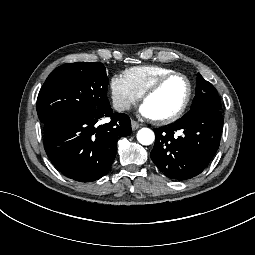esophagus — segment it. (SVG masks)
Here are the masks:
<instances>
[{
  "label": "esophagus",
  "mask_w": 255,
  "mask_h": 255,
  "mask_svg": "<svg viewBox=\"0 0 255 255\" xmlns=\"http://www.w3.org/2000/svg\"><path fill=\"white\" fill-rule=\"evenodd\" d=\"M131 125H132V130H136L140 126L139 123L134 120L131 121Z\"/></svg>",
  "instance_id": "esophagus-1"
}]
</instances>
